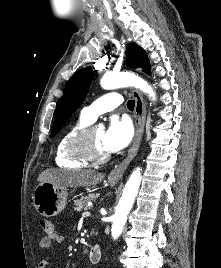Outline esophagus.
Masks as SVG:
<instances>
[{
	"mask_svg": "<svg viewBox=\"0 0 221 268\" xmlns=\"http://www.w3.org/2000/svg\"><path fill=\"white\" fill-rule=\"evenodd\" d=\"M132 95L135 99V110H134V118H135V136L132 142L131 147L128 150L127 157L118 165H116L111 172L109 173L110 179H120L125 170L127 169L131 160L136 156L139 146L142 141V136L144 133V125L146 118V105L143 100L142 94L139 90L133 89Z\"/></svg>",
	"mask_w": 221,
	"mask_h": 268,
	"instance_id": "esophagus-1",
	"label": "esophagus"
}]
</instances>
